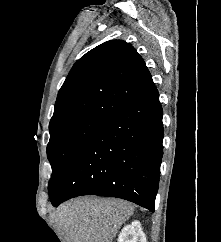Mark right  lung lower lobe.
I'll return each mask as SVG.
<instances>
[{
    "label": "right lung lower lobe",
    "mask_w": 221,
    "mask_h": 242,
    "mask_svg": "<svg viewBox=\"0 0 221 242\" xmlns=\"http://www.w3.org/2000/svg\"><path fill=\"white\" fill-rule=\"evenodd\" d=\"M162 106L153 85L84 140L51 191L54 207L81 195L117 197L154 211L163 155Z\"/></svg>",
    "instance_id": "right-lung-lower-lobe-1"
}]
</instances>
